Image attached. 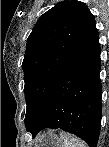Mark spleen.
Segmentation results:
<instances>
[{
    "label": "spleen",
    "instance_id": "obj_1",
    "mask_svg": "<svg viewBox=\"0 0 109 147\" xmlns=\"http://www.w3.org/2000/svg\"><path fill=\"white\" fill-rule=\"evenodd\" d=\"M62 138V147H87L86 143L83 140L71 134L62 132Z\"/></svg>",
    "mask_w": 109,
    "mask_h": 147
}]
</instances>
